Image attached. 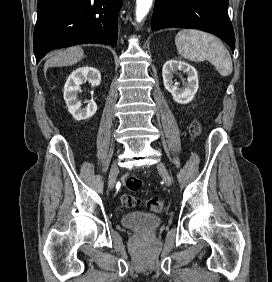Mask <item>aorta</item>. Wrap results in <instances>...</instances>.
<instances>
[{"mask_svg":"<svg viewBox=\"0 0 272 282\" xmlns=\"http://www.w3.org/2000/svg\"><path fill=\"white\" fill-rule=\"evenodd\" d=\"M153 0H136V20L141 22L149 12Z\"/></svg>","mask_w":272,"mask_h":282,"instance_id":"762f6f07","label":"aorta"}]
</instances>
